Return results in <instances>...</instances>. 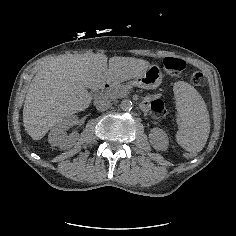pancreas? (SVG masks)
<instances>
[{"mask_svg": "<svg viewBox=\"0 0 236 236\" xmlns=\"http://www.w3.org/2000/svg\"><path fill=\"white\" fill-rule=\"evenodd\" d=\"M122 94V89L121 88H115L114 91H108L107 93L104 94V99L105 100H110L111 98H115L116 95H121Z\"/></svg>", "mask_w": 236, "mask_h": 236, "instance_id": "1", "label": "pancreas"}]
</instances>
